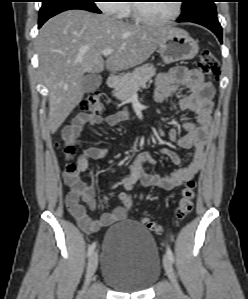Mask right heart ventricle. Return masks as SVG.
Wrapping results in <instances>:
<instances>
[{"label": "right heart ventricle", "instance_id": "right-heart-ventricle-1", "mask_svg": "<svg viewBox=\"0 0 248 299\" xmlns=\"http://www.w3.org/2000/svg\"><path fill=\"white\" fill-rule=\"evenodd\" d=\"M124 8H125V13L123 15L129 14L132 11V9L129 5L125 4Z\"/></svg>", "mask_w": 248, "mask_h": 299}]
</instances>
